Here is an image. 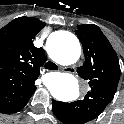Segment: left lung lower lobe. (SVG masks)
Masks as SVG:
<instances>
[{"label": "left lung lower lobe", "mask_w": 124, "mask_h": 124, "mask_svg": "<svg viewBox=\"0 0 124 124\" xmlns=\"http://www.w3.org/2000/svg\"><path fill=\"white\" fill-rule=\"evenodd\" d=\"M52 110H53L55 116H56L61 122H63L64 124H66L65 121H64L63 115H62L61 102L52 100Z\"/></svg>", "instance_id": "1"}]
</instances>
